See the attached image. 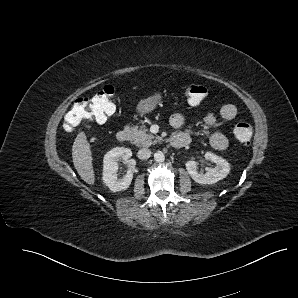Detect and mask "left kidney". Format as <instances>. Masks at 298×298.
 <instances>
[{"instance_id": "obj_1", "label": "left kidney", "mask_w": 298, "mask_h": 298, "mask_svg": "<svg viewBox=\"0 0 298 298\" xmlns=\"http://www.w3.org/2000/svg\"><path fill=\"white\" fill-rule=\"evenodd\" d=\"M206 160L216 164L214 168H209L206 173H199L197 171V162H186V170L191 178L199 184H214L219 180L227 177L230 172V164L222 157L212 153L206 152L204 155Z\"/></svg>"}]
</instances>
